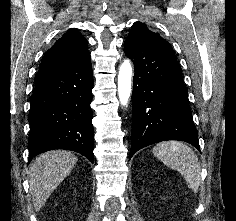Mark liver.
<instances>
[{
  "mask_svg": "<svg viewBox=\"0 0 236 221\" xmlns=\"http://www.w3.org/2000/svg\"><path fill=\"white\" fill-rule=\"evenodd\" d=\"M77 163V157L65 150L40 154L31 163L28 173L30 193L38 212L52 191L66 178Z\"/></svg>",
  "mask_w": 236,
  "mask_h": 221,
  "instance_id": "1",
  "label": "liver"
}]
</instances>
